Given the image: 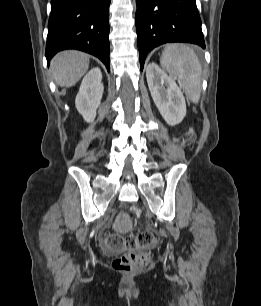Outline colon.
<instances>
[{"label":"colon","mask_w":261,"mask_h":306,"mask_svg":"<svg viewBox=\"0 0 261 306\" xmlns=\"http://www.w3.org/2000/svg\"><path fill=\"white\" fill-rule=\"evenodd\" d=\"M114 226L117 233L106 235L105 245L110 250L125 251V253L113 260L112 268L120 272H135L146 268L149 255L141 250L155 243V234L149 230L136 234L130 233L133 220L126 212L116 216Z\"/></svg>","instance_id":"obj_1"}]
</instances>
